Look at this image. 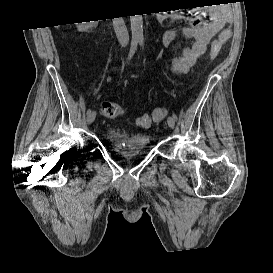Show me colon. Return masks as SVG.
Returning a JSON list of instances; mask_svg holds the SVG:
<instances>
[{"label":"colon","instance_id":"5ec220e1","mask_svg":"<svg viewBox=\"0 0 273 273\" xmlns=\"http://www.w3.org/2000/svg\"><path fill=\"white\" fill-rule=\"evenodd\" d=\"M220 47L217 42H213L211 46L210 56L212 60L219 57ZM102 114L111 119L119 118L123 115V108L118 103L114 102H104L101 105ZM168 114L165 108H155L151 112L142 115L137 119V125L140 127H149L153 122H158L163 120Z\"/></svg>","mask_w":273,"mask_h":273}]
</instances>
